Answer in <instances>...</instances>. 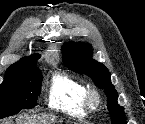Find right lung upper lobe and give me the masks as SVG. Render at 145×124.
Listing matches in <instances>:
<instances>
[{
  "mask_svg": "<svg viewBox=\"0 0 145 124\" xmlns=\"http://www.w3.org/2000/svg\"><path fill=\"white\" fill-rule=\"evenodd\" d=\"M39 58V54H32L30 57L22 58L7 69L5 76H14L32 70Z\"/></svg>",
  "mask_w": 145,
  "mask_h": 124,
  "instance_id": "right-lung-upper-lobe-1",
  "label": "right lung upper lobe"
}]
</instances>
